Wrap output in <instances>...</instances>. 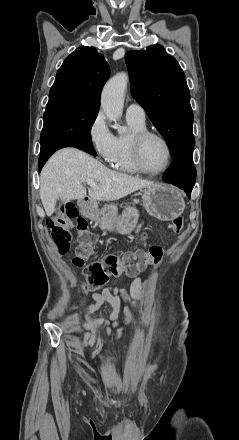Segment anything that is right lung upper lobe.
I'll return each instance as SVG.
<instances>
[{
	"label": "right lung upper lobe",
	"mask_w": 239,
	"mask_h": 440,
	"mask_svg": "<svg viewBox=\"0 0 239 440\" xmlns=\"http://www.w3.org/2000/svg\"><path fill=\"white\" fill-rule=\"evenodd\" d=\"M109 76L110 68L102 54L94 47H79L58 70L47 105L98 111L101 90Z\"/></svg>",
	"instance_id": "1"
}]
</instances>
